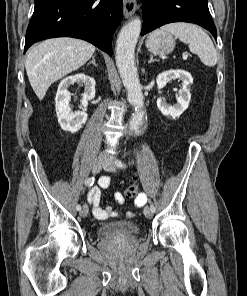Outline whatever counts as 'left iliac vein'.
<instances>
[{
  "label": "left iliac vein",
  "instance_id": "1",
  "mask_svg": "<svg viewBox=\"0 0 247 296\" xmlns=\"http://www.w3.org/2000/svg\"><path fill=\"white\" fill-rule=\"evenodd\" d=\"M103 169L109 172H115L116 167H115L114 161L110 158L106 159L103 164ZM144 215L146 218L151 219L153 217V212L149 207H145Z\"/></svg>",
  "mask_w": 247,
  "mask_h": 296
}]
</instances>
